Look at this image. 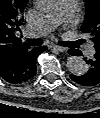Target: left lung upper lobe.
I'll use <instances>...</instances> for the list:
<instances>
[{
	"label": "left lung upper lobe",
	"instance_id": "obj_1",
	"mask_svg": "<svg viewBox=\"0 0 100 118\" xmlns=\"http://www.w3.org/2000/svg\"><path fill=\"white\" fill-rule=\"evenodd\" d=\"M81 30L90 36L96 52L100 53V0H86V14Z\"/></svg>",
	"mask_w": 100,
	"mask_h": 118
}]
</instances>
